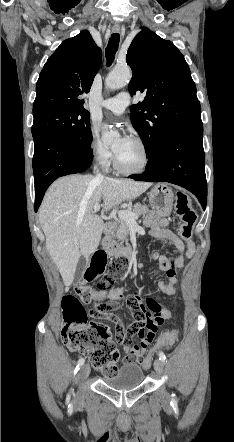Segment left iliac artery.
<instances>
[{"mask_svg": "<svg viewBox=\"0 0 234 442\" xmlns=\"http://www.w3.org/2000/svg\"><path fill=\"white\" fill-rule=\"evenodd\" d=\"M159 359H160L163 363H166V362H167V360H166V356H165V354H164L162 351L159 352ZM171 403H173V404H176V403H177V398H176L175 394L172 395V401H171Z\"/></svg>", "mask_w": 234, "mask_h": 442, "instance_id": "1", "label": "left iliac artery"}]
</instances>
